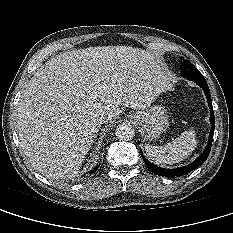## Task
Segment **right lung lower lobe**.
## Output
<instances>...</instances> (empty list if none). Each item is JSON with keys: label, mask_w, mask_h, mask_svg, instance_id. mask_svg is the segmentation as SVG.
<instances>
[{"label": "right lung lower lobe", "mask_w": 233, "mask_h": 233, "mask_svg": "<svg viewBox=\"0 0 233 233\" xmlns=\"http://www.w3.org/2000/svg\"><path fill=\"white\" fill-rule=\"evenodd\" d=\"M99 165L97 167H95L92 171H90V174H93L94 172H96V170L98 169Z\"/></svg>", "instance_id": "obj_1"}]
</instances>
